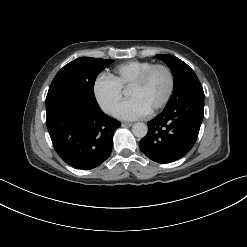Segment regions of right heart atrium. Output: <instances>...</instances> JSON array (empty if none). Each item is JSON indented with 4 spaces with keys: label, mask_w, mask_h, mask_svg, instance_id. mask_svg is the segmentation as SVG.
<instances>
[{
    "label": "right heart atrium",
    "mask_w": 247,
    "mask_h": 247,
    "mask_svg": "<svg viewBox=\"0 0 247 247\" xmlns=\"http://www.w3.org/2000/svg\"><path fill=\"white\" fill-rule=\"evenodd\" d=\"M93 94L99 106L112 115L122 101L123 91L109 75H100L94 81Z\"/></svg>",
    "instance_id": "obj_1"
}]
</instances>
